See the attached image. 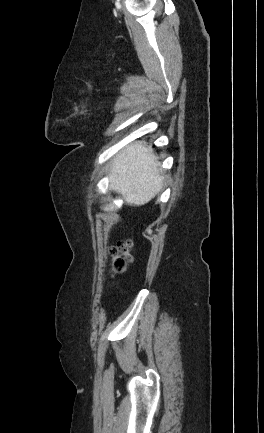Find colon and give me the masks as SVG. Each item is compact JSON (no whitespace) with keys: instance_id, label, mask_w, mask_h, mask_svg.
Listing matches in <instances>:
<instances>
[{"instance_id":"5ec220e1","label":"colon","mask_w":264,"mask_h":433,"mask_svg":"<svg viewBox=\"0 0 264 433\" xmlns=\"http://www.w3.org/2000/svg\"><path fill=\"white\" fill-rule=\"evenodd\" d=\"M133 243L130 240L122 241L111 249L114 269L123 272L132 260L131 251Z\"/></svg>"}]
</instances>
